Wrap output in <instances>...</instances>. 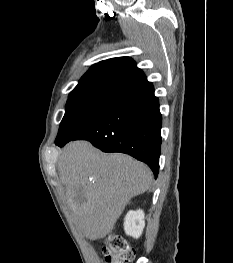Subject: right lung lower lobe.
Masks as SVG:
<instances>
[{
  "label": "right lung lower lobe",
  "mask_w": 233,
  "mask_h": 263,
  "mask_svg": "<svg viewBox=\"0 0 233 263\" xmlns=\"http://www.w3.org/2000/svg\"><path fill=\"white\" fill-rule=\"evenodd\" d=\"M162 116L151 82H145L116 97L108 110L90 127L69 140H56L64 146L85 139L104 152H122L146 163L155 178L159 172Z\"/></svg>",
  "instance_id": "98d812e1"
}]
</instances>
